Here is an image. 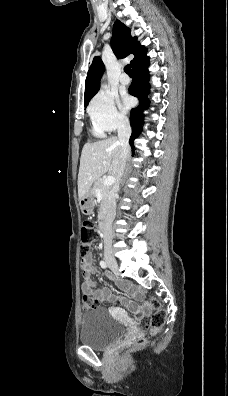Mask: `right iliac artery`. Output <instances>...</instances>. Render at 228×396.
<instances>
[{"mask_svg": "<svg viewBox=\"0 0 228 396\" xmlns=\"http://www.w3.org/2000/svg\"><path fill=\"white\" fill-rule=\"evenodd\" d=\"M100 266H101L102 268H104V269L107 268V264H106L105 261H100Z\"/></svg>", "mask_w": 228, "mask_h": 396, "instance_id": "right-iliac-artery-1", "label": "right iliac artery"}]
</instances>
